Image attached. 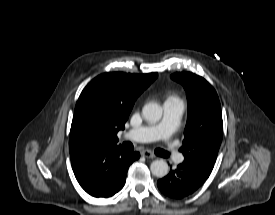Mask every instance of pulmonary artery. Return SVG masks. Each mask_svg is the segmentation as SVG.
<instances>
[{"mask_svg": "<svg viewBox=\"0 0 275 215\" xmlns=\"http://www.w3.org/2000/svg\"><path fill=\"white\" fill-rule=\"evenodd\" d=\"M185 106L181 100L166 101L163 105L164 116L160 123L153 126H142L126 132L123 137L135 142H150L162 140L165 143V151L172 160H182V156L174 148L171 136L176 131Z\"/></svg>", "mask_w": 275, "mask_h": 215, "instance_id": "obj_1", "label": "pulmonary artery"}]
</instances>
